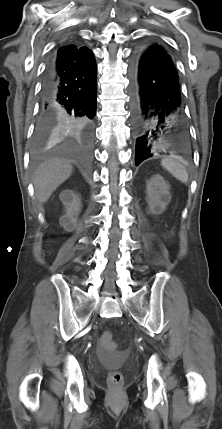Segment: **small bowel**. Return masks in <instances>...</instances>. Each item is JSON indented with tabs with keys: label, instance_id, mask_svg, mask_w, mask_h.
Wrapping results in <instances>:
<instances>
[{
	"label": "small bowel",
	"instance_id": "c3829d8e",
	"mask_svg": "<svg viewBox=\"0 0 222 429\" xmlns=\"http://www.w3.org/2000/svg\"><path fill=\"white\" fill-rule=\"evenodd\" d=\"M99 352L103 358H109L110 357V353H109L108 349H106L102 346L100 347Z\"/></svg>",
	"mask_w": 222,
	"mask_h": 429
}]
</instances>
